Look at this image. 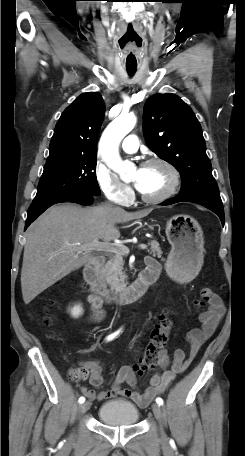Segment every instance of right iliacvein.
I'll return each mask as SVG.
<instances>
[{"label": "right iliac vein", "mask_w": 245, "mask_h": 456, "mask_svg": "<svg viewBox=\"0 0 245 456\" xmlns=\"http://www.w3.org/2000/svg\"><path fill=\"white\" fill-rule=\"evenodd\" d=\"M91 406V403L89 401L85 402V403H82L80 406H79V413L80 414H83L85 413Z\"/></svg>", "instance_id": "63e3f726"}]
</instances>
